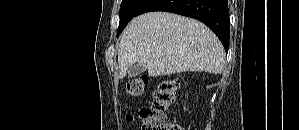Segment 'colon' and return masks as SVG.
<instances>
[{
	"label": "colon",
	"instance_id": "5ec220e1",
	"mask_svg": "<svg viewBox=\"0 0 299 130\" xmlns=\"http://www.w3.org/2000/svg\"><path fill=\"white\" fill-rule=\"evenodd\" d=\"M146 84V77L132 79L126 85V92L132 97L140 96L143 94ZM177 88L178 82L173 78L163 79L158 84L153 93L151 106L141 108L138 112L142 118L141 130H182L166 115L175 101Z\"/></svg>",
	"mask_w": 299,
	"mask_h": 130
}]
</instances>
